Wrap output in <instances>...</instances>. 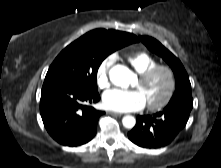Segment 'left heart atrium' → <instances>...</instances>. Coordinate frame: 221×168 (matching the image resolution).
Listing matches in <instances>:
<instances>
[{
  "label": "left heart atrium",
  "mask_w": 221,
  "mask_h": 168,
  "mask_svg": "<svg viewBox=\"0 0 221 168\" xmlns=\"http://www.w3.org/2000/svg\"><path fill=\"white\" fill-rule=\"evenodd\" d=\"M103 106L116 112L138 111L146 105L145 98L140 90L112 89L103 94Z\"/></svg>",
  "instance_id": "1"
}]
</instances>
